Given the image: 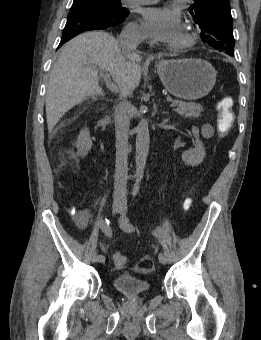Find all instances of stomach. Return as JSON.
<instances>
[{
  "mask_svg": "<svg viewBox=\"0 0 261 340\" xmlns=\"http://www.w3.org/2000/svg\"><path fill=\"white\" fill-rule=\"evenodd\" d=\"M160 80L177 98L197 100L205 97L216 82L214 67L202 59H175L157 64Z\"/></svg>",
  "mask_w": 261,
  "mask_h": 340,
  "instance_id": "stomach-1",
  "label": "stomach"
}]
</instances>
